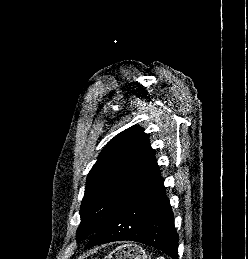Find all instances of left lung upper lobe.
Instances as JSON below:
<instances>
[{
  "label": "left lung upper lobe",
  "instance_id": "1",
  "mask_svg": "<svg viewBox=\"0 0 248 259\" xmlns=\"http://www.w3.org/2000/svg\"><path fill=\"white\" fill-rule=\"evenodd\" d=\"M162 181L154 150L143 129L133 126L116 135L88 175L77 241L92 237Z\"/></svg>",
  "mask_w": 248,
  "mask_h": 259
}]
</instances>
